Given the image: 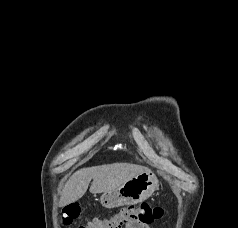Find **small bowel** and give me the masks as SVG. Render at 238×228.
I'll return each instance as SVG.
<instances>
[{
	"label": "small bowel",
	"instance_id": "obj_1",
	"mask_svg": "<svg viewBox=\"0 0 238 228\" xmlns=\"http://www.w3.org/2000/svg\"><path fill=\"white\" fill-rule=\"evenodd\" d=\"M132 228H151V226L150 225H144V224H137Z\"/></svg>",
	"mask_w": 238,
	"mask_h": 228
}]
</instances>
